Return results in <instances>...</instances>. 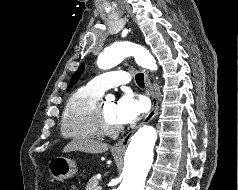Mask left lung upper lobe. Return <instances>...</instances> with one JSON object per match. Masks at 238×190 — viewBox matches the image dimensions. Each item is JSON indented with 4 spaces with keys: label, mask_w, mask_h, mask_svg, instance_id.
Returning a JSON list of instances; mask_svg holds the SVG:
<instances>
[{
    "label": "left lung upper lobe",
    "mask_w": 238,
    "mask_h": 190,
    "mask_svg": "<svg viewBox=\"0 0 238 190\" xmlns=\"http://www.w3.org/2000/svg\"><path fill=\"white\" fill-rule=\"evenodd\" d=\"M84 70V65L82 64L78 69L77 71L75 72V74L73 75V77L71 78V81L69 83V86H68V90L73 86V84L77 81V79L79 78V76L82 74Z\"/></svg>",
    "instance_id": "obj_1"
}]
</instances>
